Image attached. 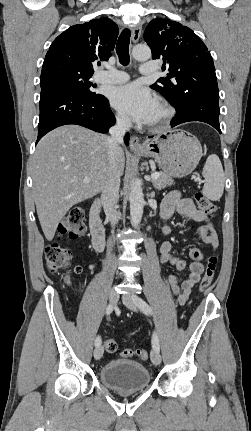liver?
<instances>
[{
	"instance_id": "liver-1",
	"label": "liver",
	"mask_w": 251,
	"mask_h": 431,
	"mask_svg": "<svg viewBox=\"0 0 251 431\" xmlns=\"http://www.w3.org/2000/svg\"><path fill=\"white\" fill-rule=\"evenodd\" d=\"M107 136L78 125H64L45 135L33 159V194L48 241L74 205L102 192L108 182ZM125 154L117 150L116 171L123 174ZM88 178L89 182H83Z\"/></svg>"
}]
</instances>
